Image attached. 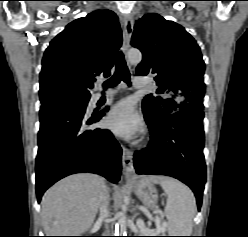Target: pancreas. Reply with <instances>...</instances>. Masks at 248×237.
Instances as JSON below:
<instances>
[{
	"instance_id": "cf45deb5",
	"label": "pancreas",
	"mask_w": 248,
	"mask_h": 237,
	"mask_svg": "<svg viewBox=\"0 0 248 237\" xmlns=\"http://www.w3.org/2000/svg\"><path fill=\"white\" fill-rule=\"evenodd\" d=\"M165 232V226L164 224H161V228L157 229L156 231L152 232L150 230H147L146 228H141V233H164Z\"/></svg>"
}]
</instances>
